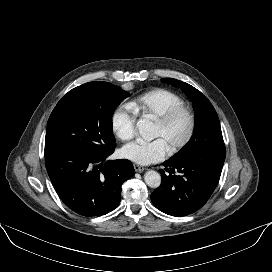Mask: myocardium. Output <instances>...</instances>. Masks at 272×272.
Masks as SVG:
<instances>
[{
    "mask_svg": "<svg viewBox=\"0 0 272 272\" xmlns=\"http://www.w3.org/2000/svg\"><path fill=\"white\" fill-rule=\"evenodd\" d=\"M186 116L188 119V129L184 137L178 141L177 143L173 144L168 148L170 153H175L185 147L189 141L192 139L195 129H196V117L194 112L186 107V106H178L168 110L166 113L161 115L156 119V123H158L162 127H167L170 125L176 118L179 116Z\"/></svg>",
    "mask_w": 272,
    "mask_h": 272,
    "instance_id": "f54148a6",
    "label": "myocardium"
}]
</instances>
